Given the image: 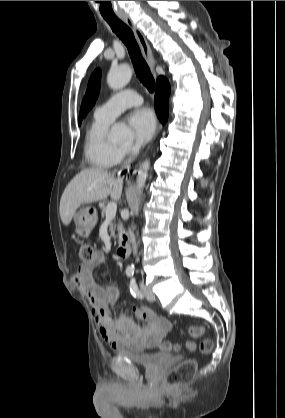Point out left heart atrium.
<instances>
[{"mask_svg": "<svg viewBox=\"0 0 285 418\" xmlns=\"http://www.w3.org/2000/svg\"><path fill=\"white\" fill-rule=\"evenodd\" d=\"M128 123L141 143L150 140L157 127L156 116L150 108H137L132 111Z\"/></svg>", "mask_w": 285, "mask_h": 418, "instance_id": "39dd6f15", "label": "left heart atrium"}]
</instances>
